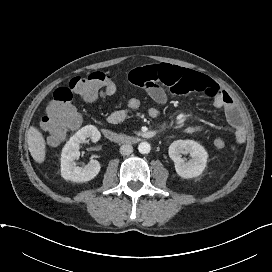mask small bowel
Wrapping results in <instances>:
<instances>
[{
	"instance_id": "1",
	"label": "small bowel",
	"mask_w": 272,
	"mask_h": 272,
	"mask_svg": "<svg viewBox=\"0 0 272 272\" xmlns=\"http://www.w3.org/2000/svg\"><path fill=\"white\" fill-rule=\"evenodd\" d=\"M131 84L146 90L158 103H164L167 92L176 95L190 93L200 94L213 102L216 108L222 109L226 119L235 132V141L231 146L233 152L246 140V130L241 121L239 111L231 96L209 77L193 70L170 64H146L132 69L128 74ZM131 110L127 108L113 111L107 118L110 124L124 121ZM152 119H156L159 111L155 107L148 110ZM204 131L201 124L190 125L181 130L183 134H197Z\"/></svg>"
}]
</instances>
